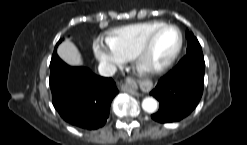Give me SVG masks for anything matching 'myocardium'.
Wrapping results in <instances>:
<instances>
[{
    "label": "myocardium",
    "mask_w": 247,
    "mask_h": 145,
    "mask_svg": "<svg viewBox=\"0 0 247 145\" xmlns=\"http://www.w3.org/2000/svg\"><path fill=\"white\" fill-rule=\"evenodd\" d=\"M166 28H173L178 33L179 40H178V45H177L176 50L174 51L172 56L163 64L158 65V66H154V67H146L145 66V58H146V56H147V54H148V52L152 46L153 41L155 40L156 36L162 30H164ZM182 47H183V34H182L181 30L179 29V27L174 25V24L164 23V24L160 25L159 27H157L156 29H154L147 36V38L144 40V42L142 43L140 48L137 50L135 55L132 57L133 64H134L136 70L143 76L154 77V76L160 75L172 67V65L175 63V61L179 57L181 50H182Z\"/></svg>",
    "instance_id": "myocardium-1"
}]
</instances>
